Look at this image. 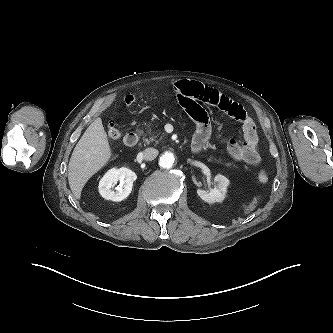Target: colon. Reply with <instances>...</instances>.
Listing matches in <instances>:
<instances>
[{"label": "colon", "instance_id": "obj_1", "mask_svg": "<svg viewBox=\"0 0 333 333\" xmlns=\"http://www.w3.org/2000/svg\"><path fill=\"white\" fill-rule=\"evenodd\" d=\"M136 101V97L134 95H128L125 98L126 105H132ZM108 136L112 139H118L121 136L119 129L114 121H110L107 126ZM258 180L260 183H267L269 178L265 172H260L258 174Z\"/></svg>", "mask_w": 333, "mask_h": 333}]
</instances>
